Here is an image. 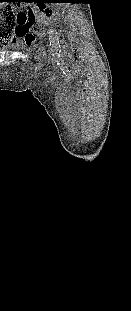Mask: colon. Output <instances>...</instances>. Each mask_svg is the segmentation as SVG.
<instances>
[{"mask_svg":"<svg viewBox=\"0 0 131 311\" xmlns=\"http://www.w3.org/2000/svg\"><path fill=\"white\" fill-rule=\"evenodd\" d=\"M34 21V16H26L20 11L0 6V32L5 26L8 28V35L21 23L29 27Z\"/></svg>","mask_w":131,"mask_h":311,"instance_id":"5ec220e1","label":"colon"}]
</instances>
